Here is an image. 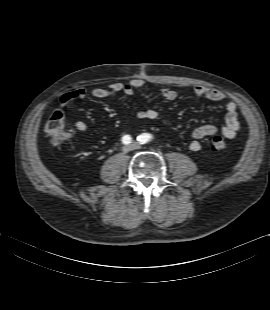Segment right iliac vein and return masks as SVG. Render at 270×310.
Returning a JSON list of instances; mask_svg holds the SVG:
<instances>
[{
  "instance_id": "obj_1",
  "label": "right iliac vein",
  "mask_w": 270,
  "mask_h": 310,
  "mask_svg": "<svg viewBox=\"0 0 270 310\" xmlns=\"http://www.w3.org/2000/svg\"><path fill=\"white\" fill-rule=\"evenodd\" d=\"M132 150V147L130 146V145H126V146H124L123 148H122V151L124 152V153H127V152H129V151H131Z\"/></svg>"
}]
</instances>
